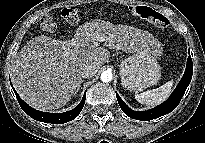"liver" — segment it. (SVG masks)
Masks as SVG:
<instances>
[{
	"instance_id": "1",
	"label": "liver",
	"mask_w": 205,
	"mask_h": 143,
	"mask_svg": "<svg viewBox=\"0 0 205 143\" xmlns=\"http://www.w3.org/2000/svg\"><path fill=\"white\" fill-rule=\"evenodd\" d=\"M102 42L103 46L95 43ZM136 53L160 44L147 31L128 25L93 20L80 25L71 40L37 36L14 56L11 78L20 97L39 110L64 106L80 88V72L86 65L97 70L109 61L108 49Z\"/></svg>"
}]
</instances>
